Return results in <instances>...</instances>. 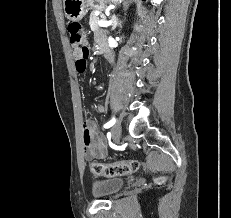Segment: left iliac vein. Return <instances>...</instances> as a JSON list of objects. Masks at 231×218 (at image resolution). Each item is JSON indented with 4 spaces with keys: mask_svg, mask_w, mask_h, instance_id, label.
I'll use <instances>...</instances> for the list:
<instances>
[{
    "mask_svg": "<svg viewBox=\"0 0 231 218\" xmlns=\"http://www.w3.org/2000/svg\"><path fill=\"white\" fill-rule=\"evenodd\" d=\"M122 133V128H121V121L119 120L113 127H112V136L113 139L118 142Z\"/></svg>",
    "mask_w": 231,
    "mask_h": 218,
    "instance_id": "obj_1",
    "label": "left iliac vein"
}]
</instances>
